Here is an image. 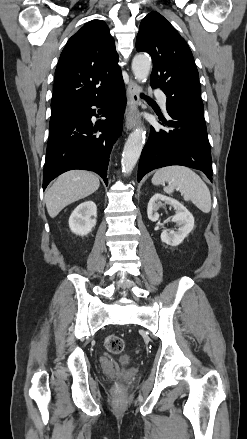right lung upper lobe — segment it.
Segmentation results:
<instances>
[{
	"label": "right lung upper lobe",
	"mask_w": 247,
	"mask_h": 439,
	"mask_svg": "<svg viewBox=\"0 0 247 439\" xmlns=\"http://www.w3.org/2000/svg\"><path fill=\"white\" fill-rule=\"evenodd\" d=\"M115 42L105 22L86 23L67 42L56 71L52 113L109 93L122 81Z\"/></svg>",
	"instance_id": "right-lung-upper-lobe-1"
}]
</instances>
